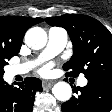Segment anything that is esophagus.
Instances as JSON below:
<instances>
[{"mask_svg": "<svg viewBox=\"0 0 112 112\" xmlns=\"http://www.w3.org/2000/svg\"><path fill=\"white\" fill-rule=\"evenodd\" d=\"M54 83H55V81H53V80H43L42 81V87L44 89H49L53 86Z\"/></svg>", "mask_w": 112, "mask_h": 112, "instance_id": "34e87169", "label": "esophagus"}]
</instances>
